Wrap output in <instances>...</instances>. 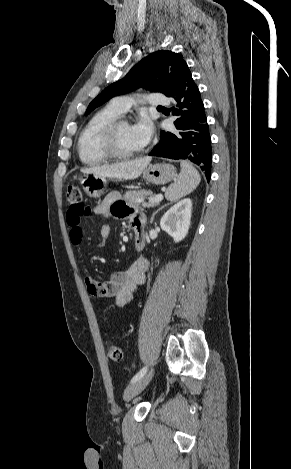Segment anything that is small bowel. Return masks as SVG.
I'll return each instance as SVG.
<instances>
[{
    "label": "small bowel",
    "mask_w": 291,
    "mask_h": 469,
    "mask_svg": "<svg viewBox=\"0 0 291 469\" xmlns=\"http://www.w3.org/2000/svg\"><path fill=\"white\" fill-rule=\"evenodd\" d=\"M96 215L104 218H129L133 228L141 227L144 229L145 217L137 210L128 207L121 199L118 193H110L93 210ZM80 215L75 209L70 208L67 211V224L70 228L69 236L73 245H80L83 238ZM110 226L104 224L101 228L102 240L98 244L102 246L110 235ZM148 269V261L140 257L133 261L124 271H116L111 274L106 282H98L92 276L87 275L84 279L90 294L99 298H113L115 304L123 308L133 298L137 287L145 282V273Z\"/></svg>",
    "instance_id": "c3829d8e"
}]
</instances>
